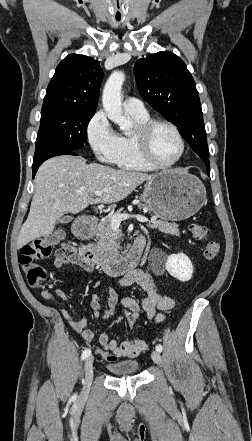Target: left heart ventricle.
<instances>
[{"mask_svg":"<svg viewBox=\"0 0 252 441\" xmlns=\"http://www.w3.org/2000/svg\"><path fill=\"white\" fill-rule=\"evenodd\" d=\"M151 153L158 163H169L180 152V143L171 129L165 126L157 127L150 138Z\"/></svg>","mask_w":252,"mask_h":441,"instance_id":"left-heart-ventricle-1","label":"left heart ventricle"}]
</instances>
